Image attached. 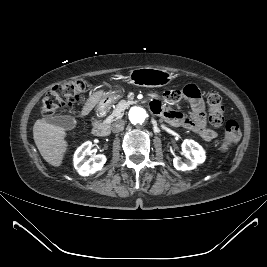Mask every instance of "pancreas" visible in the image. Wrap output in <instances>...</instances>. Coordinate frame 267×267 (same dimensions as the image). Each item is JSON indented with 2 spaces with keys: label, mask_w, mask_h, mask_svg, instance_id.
Instances as JSON below:
<instances>
[{
  "label": "pancreas",
  "mask_w": 267,
  "mask_h": 267,
  "mask_svg": "<svg viewBox=\"0 0 267 267\" xmlns=\"http://www.w3.org/2000/svg\"><path fill=\"white\" fill-rule=\"evenodd\" d=\"M124 109L121 108V104H118V106L116 107V109L105 119V123H112L113 121L123 117V113Z\"/></svg>",
  "instance_id": "obj_1"
}]
</instances>
